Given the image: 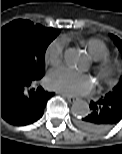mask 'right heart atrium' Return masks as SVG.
<instances>
[{"instance_id": "right-heart-atrium-1", "label": "right heart atrium", "mask_w": 122, "mask_h": 154, "mask_svg": "<svg viewBox=\"0 0 122 154\" xmlns=\"http://www.w3.org/2000/svg\"><path fill=\"white\" fill-rule=\"evenodd\" d=\"M64 50L65 43L62 39H55L52 41L45 53L46 63L53 67L59 66L63 61Z\"/></svg>"}]
</instances>
